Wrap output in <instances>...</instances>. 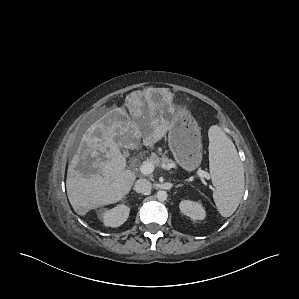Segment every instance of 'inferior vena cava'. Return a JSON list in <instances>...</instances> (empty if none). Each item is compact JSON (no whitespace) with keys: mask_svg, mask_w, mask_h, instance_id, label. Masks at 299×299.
Listing matches in <instances>:
<instances>
[{"mask_svg":"<svg viewBox=\"0 0 299 299\" xmlns=\"http://www.w3.org/2000/svg\"><path fill=\"white\" fill-rule=\"evenodd\" d=\"M151 189H152V184L147 179L141 178L135 182L134 190L137 193H147V192H150Z\"/></svg>","mask_w":299,"mask_h":299,"instance_id":"obj_1","label":"inferior vena cava"}]
</instances>
